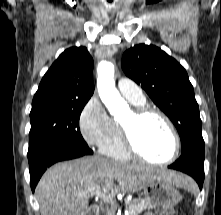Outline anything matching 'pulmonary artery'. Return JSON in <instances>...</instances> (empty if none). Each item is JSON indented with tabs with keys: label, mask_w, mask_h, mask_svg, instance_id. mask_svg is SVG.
<instances>
[{
	"label": "pulmonary artery",
	"mask_w": 221,
	"mask_h": 215,
	"mask_svg": "<svg viewBox=\"0 0 221 215\" xmlns=\"http://www.w3.org/2000/svg\"><path fill=\"white\" fill-rule=\"evenodd\" d=\"M118 89L128 100L134 102H141L145 100L141 89L133 81L127 78H121L118 81Z\"/></svg>",
	"instance_id": "1"
}]
</instances>
